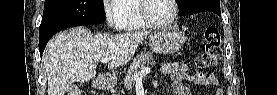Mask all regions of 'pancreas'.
Returning a JSON list of instances; mask_svg holds the SVG:
<instances>
[{
    "label": "pancreas",
    "mask_w": 277,
    "mask_h": 95,
    "mask_svg": "<svg viewBox=\"0 0 277 95\" xmlns=\"http://www.w3.org/2000/svg\"><path fill=\"white\" fill-rule=\"evenodd\" d=\"M149 64L154 65L155 61L152 53L144 52L137 56L136 59L133 60L130 68L127 71V74L124 78V87L127 90H131L134 83V75L139 73L141 69L145 68Z\"/></svg>",
    "instance_id": "1"
}]
</instances>
